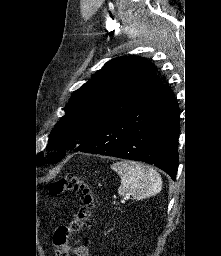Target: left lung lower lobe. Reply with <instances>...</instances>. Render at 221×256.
Masks as SVG:
<instances>
[{
  "label": "left lung lower lobe",
  "instance_id": "left-lung-lower-lobe-1",
  "mask_svg": "<svg viewBox=\"0 0 221 256\" xmlns=\"http://www.w3.org/2000/svg\"><path fill=\"white\" fill-rule=\"evenodd\" d=\"M179 108L162 85L135 109L109 122L74 151L154 164L175 180L178 167Z\"/></svg>",
  "mask_w": 221,
  "mask_h": 256
}]
</instances>
